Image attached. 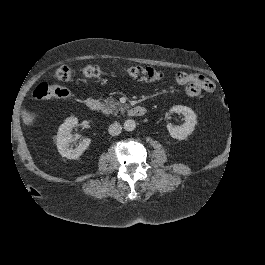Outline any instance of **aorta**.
Masks as SVG:
<instances>
[{
    "instance_id": "obj_1",
    "label": "aorta",
    "mask_w": 265,
    "mask_h": 265,
    "mask_svg": "<svg viewBox=\"0 0 265 265\" xmlns=\"http://www.w3.org/2000/svg\"><path fill=\"white\" fill-rule=\"evenodd\" d=\"M136 128V122L132 119H128L124 122V129L126 131H133Z\"/></svg>"
}]
</instances>
